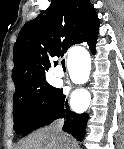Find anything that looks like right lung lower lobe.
Returning a JSON list of instances; mask_svg holds the SVG:
<instances>
[{
  "label": "right lung lower lobe",
  "mask_w": 124,
  "mask_h": 149,
  "mask_svg": "<svg viewBox=\"0 0 124 149\" xmlns=\"http://www.w3.org/2000/svg\"><path fill=\"white\" fill-rule=\"evenodd\" d=\"M95 53V45L90 47ZM58 118H64L63 131L74 136L78 141H82L85 136L87 114H77L70 110L66 96L62 89H58L51 98L49 105L42 111H38L31 116L22 132L23 136L33 130L48 125Z\"/></svg>",
  "instance_id": "obj_1"
}]
</instances>
